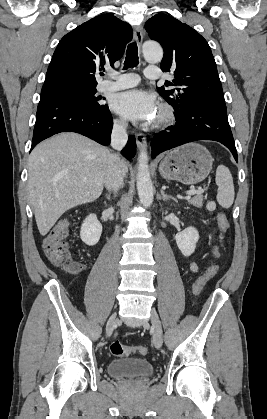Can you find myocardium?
<instances>
[{"mask_svg": "<svg viewBox=\"0 0 267 419\" xmlns=\"http://www.w3.org/2000/svg\"><path fill=\"white\" fill-rule=\"evenodd\" d=\"M175 121L174 109L166 103L160 105L158 116L154 121L155 128H166L171 126Z\"/></svg>", "mask_w": 267, "mask_h": 419, "instance_id": "f54148a6", "label": "myocardium"}]
</instances>
